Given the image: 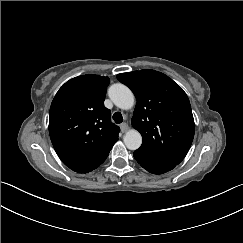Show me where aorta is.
<instances>
[{"label": "aorta", "instance_id": "1", "mask_svg": "<svg viewBox=\"0 0 243 243\" xmlns=\"http://www.w3.org/2000/svg\"><path fill=\"white\" fill-rule=\"evenodd\" d=\"M108 96L112 102L120 109L128 110L134 105V95L132 91L122 83H115L108 89ZM124 144L129 150H136L142 144L141 134L130 129L124 135Z\"/></svg>", "mask_w": 243, "mask_h": 243}]
</instances>
